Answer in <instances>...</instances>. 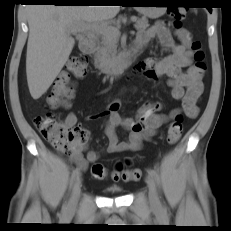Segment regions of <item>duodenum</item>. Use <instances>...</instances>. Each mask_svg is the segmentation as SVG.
<instances>
[{"label":"duodenum","mask_w":231,"mask_h":231,"mask_svg":"<svg viewBox=\"0 0 231 231\" xmlns=\"http://www.w3.org/2000/svg\"><path fill=\"white\" fill-rule=\"evenodd\" d=\"M98 46V40L95 36L91 35L86 37L81 42V50L86 54H92ZM135 58V53L133 51L128 52L119 63L112 69L114 74H119L125 67H129Z\"/></svg>","instance_id":"obj_1"}]
</instances>
